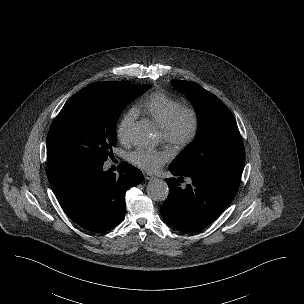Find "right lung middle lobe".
Returning <instances> with one entry per match:
<instances>
[{
  "label": "right lung middle lobe",
  "instance_id": "obj_1",
  "mask_svg": "<svg viewBox=\"0 0 304 304\" xmlns=\"http://www.w3.org/2000/svg\"><path fill=\"white\" fill-rule=\"evenodd\" d=\"M149 87L94 84L72 96L48 132L47 159L73 170L103 164L113 155L120 112Z\"/></svg>",
  "mask_w": 304,
  "mask_h": 304
}]
</instances>
